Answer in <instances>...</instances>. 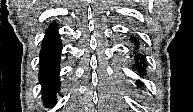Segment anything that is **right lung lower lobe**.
<instances>
[{
  "mask_svg": "<svg viewBox=\"0 0 193 112\" xmlns=\"http://www.w3.org/2000/svg\"><path fill=\"white\" fill-rule=\"evenodd\" d=\"M55 23L48 28L43 39L40 53L39 80L43 89V100L46 105L55 104V95L59 91V59L62 44Z\"/></svg>",
  "mask_w": 193,
  "mask_h": 112,
  "instance_id": "obj_1",
  "label": "right lung lower lobe"
}]
</instances>
